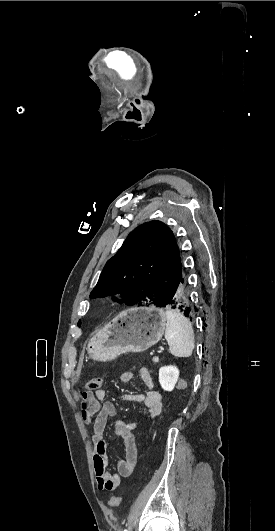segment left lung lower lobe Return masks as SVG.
<instances>
[{
    "instance_id": "obj_1",
    "label": "left lung lower lobe",
    "mask_w": 275,
    "mask_h": 531,
    "mask_svg": "<svg viewBox=\"0 0 275 531\" xmlns=\"http://www.w3.org/2000/svg\"><path fill=\"white\" fill-rule=\"evenodd\" d=\"M165 306L171 309L178 310L182 312V314H184L186 317L190 318V320L192 319L196 307L193 306L190 297V289L184 277L181 278L175 293Z\"/></svg>"
}]
</instances>
